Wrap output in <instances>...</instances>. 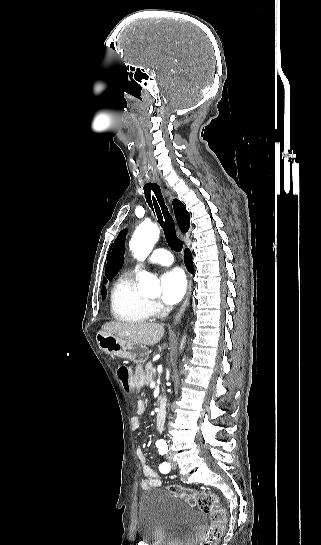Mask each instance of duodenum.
Masks as SVG:
<instances>
[{
	"instance_id": "410a0bca",
	"label": "duodenum",
	"mask_w": 321,
	"mask_h": 545,
	"mask_svg": "<svg viewBox=\"0 0 321 545\" xmlns=\"http://www.w3.org/2000/svg\"><path fill=\"white\" fill-rule=\"evenodd\" d=\"M166 399L164 397H161L159 399V410L156 415V428L158 431H162L165 423V416H166Z\"/></svg>"
}]
</instances>
